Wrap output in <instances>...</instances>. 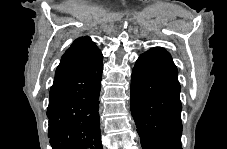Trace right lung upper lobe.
Instances as JSON below:
<instances>
[{
	"label": "right lung upper lobe",
	"mask_w": 227,
	"mask_h": 149,
	"mask_svg": "<svg viewBox=\"0 0 227 149\" xmlns=\"http://www.w3.org/2000/svg\"><path fill=\"white\" fill-rule=\"evenodd\" d=\"M101 57V51L88 36L80 37L63 54L55 73L94 62Z\"/></svg>",
	"instance_id": "1"
}]
</instances>
